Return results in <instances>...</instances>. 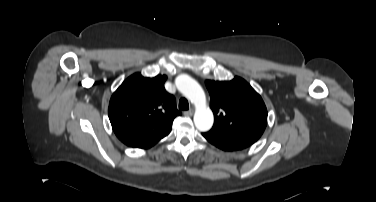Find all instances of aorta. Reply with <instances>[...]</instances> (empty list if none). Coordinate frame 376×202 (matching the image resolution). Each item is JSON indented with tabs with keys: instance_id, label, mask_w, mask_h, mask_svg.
<instances>
[{
	"instance_id": "aorta-1",
	"label": "aorta",
	"mask_w": 376,
	"mask_h": 202,
	"mask_svg": "<svg viewBox=\"0 0 376 202\" xmlns=\"http://www.w3.org/2000/svg\"><path fill=\"white\" fill-rule=\"evenodd\" d=\"M175 84L177 89L187 97L196 107L194 124L196 128L205 132L211 129L214 117L211 109L206 106V97L199 83L188 75H179Z\"/></svg>"
}]
</instances>
